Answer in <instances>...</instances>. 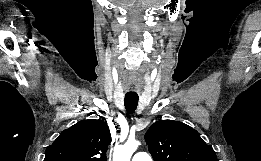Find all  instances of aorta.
<instances>
[{
    "mask_svg": "<svg viewBox=\"0 0 261 161\" xmlns=\"http://www.w3.org/2000/svg\"><path fill=\"white\" fill-rule=\"evenodd\" d=\"M138 145V141L128 140L124 145L116 146L114 148L113 161H130Z\"/></svg>",
    "mask_w": 261,
    "mask_h": 161,
    "instance_id": "aorta-1",
    "label": "aorta"
}]
</instances>
